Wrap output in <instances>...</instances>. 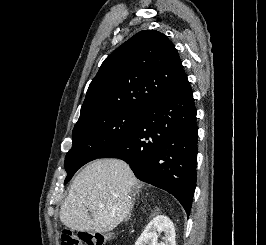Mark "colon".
<instances>
[{"label": "colon", "mask_w": 266, "mask_h": 245, "mask_svg": "<svg viewBox=\"0 0 266 245\" xmlns=\"http://www.w3.org/2000/svg\"><path fill=\"white\" fill-rule=\"evenodd\" d=\"M106 237L102 233L78 232L68 230L60 234L59 245H103Z\"/></svg>", "instance_id": "5ec220e1"}]
</instances>
